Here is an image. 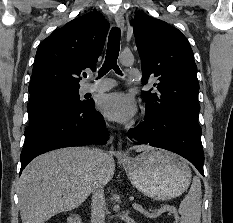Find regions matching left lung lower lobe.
<instances>
[{"mask_svg":"<svg viewBox=\"0 0 233 223\" xmlns=\"http://www.w3.org/2000/svg\"><path fill=\"white\" fill-rule=\"evenodd\" d=\"M201 133L197 117L172 115L161 119L145 117L144 122L130 129L127 136L137 144L149 143L181 155L204 176Z\"/></svg>","mask_w":233,"mask_h":223,"instance_id":"1","label":"left lung lower lobe"}]
</instances>
